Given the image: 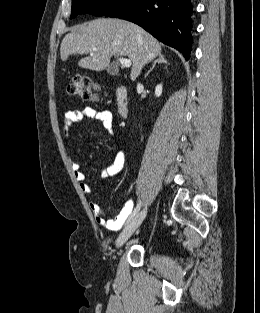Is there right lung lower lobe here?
Listing matches in <instances>:
<instances>
[{"mask_svg":"<svg viewBox=\"0 0 260 313\" xmlns=\"http://www.w3.org/2000/svg\"><path fill=\"white\" fill-rule=\"evenodd\" d=\"M191 0H126L106 17L138 24L155 38L190 58L192 30Z\"/></svg>","mask_w":260,"mask_h":313,"instance_id":"right-lung-lower-lobe-1","label":"right lung lower lobe"}]
</instances>
